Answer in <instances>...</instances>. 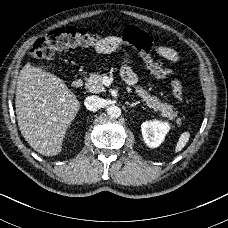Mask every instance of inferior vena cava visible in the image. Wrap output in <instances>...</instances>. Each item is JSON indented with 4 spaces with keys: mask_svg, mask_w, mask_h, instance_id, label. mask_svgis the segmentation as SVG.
Returning a JSON list of instances; mask_svg holds the SVG:
<instances>
[{
    "mask_svg": "<svg viewBox=\"0 0 228 228\" xmlns=\"http://www.w3.org/2000/svg\"><path fill=\"white\" fill-rule=\"evenodd\" d=\"M85 107L90 111H97L103 105V99L99 96H88L84 100Z\"/></svg>",
    "mask_w": 228,
    "mask_h": 228,
    "instance_id": "inferior-vena-cava-1",
    "label": "inferior vena cava"
}]
</instances>
